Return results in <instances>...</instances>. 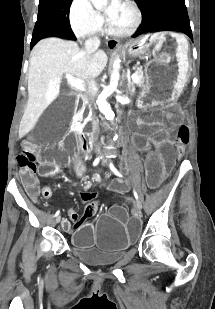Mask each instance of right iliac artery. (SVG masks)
Here are the masks:
<instances>
[{"mask_svg":"<svg viewBox=\"0 0 215 309\" xmlns=\"http://www.w3.org/2000/svg\"><path fill=\"white\" fill-rule=\"evenodd\" d=\"M101 158H102V157L96 158L95 161L93 162V166H96V165L99 163V161H100ZM59 213H60V211L58 210V211L55 213V217H57V216L59 215Z\"/></svg>","mask_w":215,"mask_h":309,"instance_id":"82829eb1","label":"right iliac artery"}]
</instances>
